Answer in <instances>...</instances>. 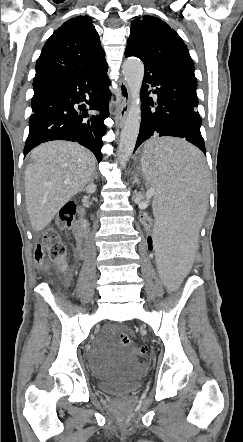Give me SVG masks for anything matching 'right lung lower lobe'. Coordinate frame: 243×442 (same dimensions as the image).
<instances>
[{
	"mask_svg": "<svg viewBox=\"0 0 243 442\" xmlns=\"http://www.w3.org/2000/svg\"><path fill=\"white\" fill-rule=\"evenodd\" d=\"M108 66L81 73H68L33 82L32 115L24 156L42 142L76 141L102 160V137L106 132L110 80ZM88 95L90 100L85 96ZM85 101L86 104H76ZM87 108L99 110L88 117Z\"/></svg>",
	"mask_w": 243,
	"mask_h": 442,
	"instance_id": "obj_1",
	"label": "right lung lower lobe"
}]
</instances>
